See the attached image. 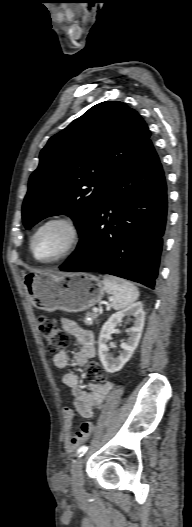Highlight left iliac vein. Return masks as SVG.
Here are the masks:
<instances>
[{
  "label": "left iliac vein",
  "instance_id": "obj_1",
  "mask_svg": "<svg viewBox=\"0 0 192 527\" xmlns=\"http://www.w3.org/2000/svg\"><path fill=\"white\" fill-rule=\"evenodd\" d=\"M82 464L83 458L79 457L74 461L71 468L72 486L75 491H80L83 486Z\"/></svg>",
  "mask_w": 192,
  "mask_h": 527
}]
</instances>
